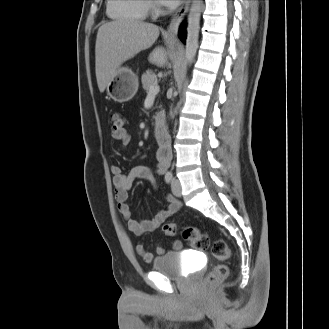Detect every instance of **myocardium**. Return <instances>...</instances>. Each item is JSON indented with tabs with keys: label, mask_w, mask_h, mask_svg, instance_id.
Segmentation results:
<instances>
[{
	"label": "myocardium",
	"mask_w": 329,
	"mask_h": 329,
	"mask_svg": "<svg viewBox=\"0 0 329 329\" xmlns=\"http://www.w3.org/2000/svg\"><path fill=\"white\" fill-rule=\"evenodd\" d=\"M148 6H149V9H152L154 11H157V8H158V3L156 0H146Z\"/></svg>",
	"instance_id": "f54148a6"
}]
</instances>
